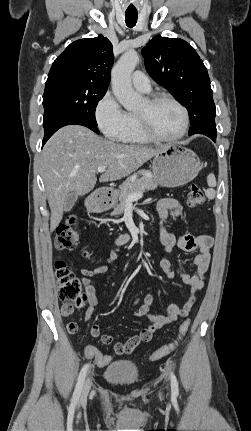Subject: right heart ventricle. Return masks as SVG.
Masks as SVG:
<instances>
[{
  "label": "right heart ventricle",
  "mask_w": 251,
  "mask_h": 431,
  "mask_svg": "<svg viewBox=\"0 0 251 431\" xmlns=\"http://www.w3.org/2000/svg\"><path fill=\"white\" fill-rule=\"evenodd\" d=\"M121 142L129 144H146L150 140L142 133L135 114H129V126L119 138Z\"/></svg>",
  "instance_id": "e07e8e85"
}]
</instances>
